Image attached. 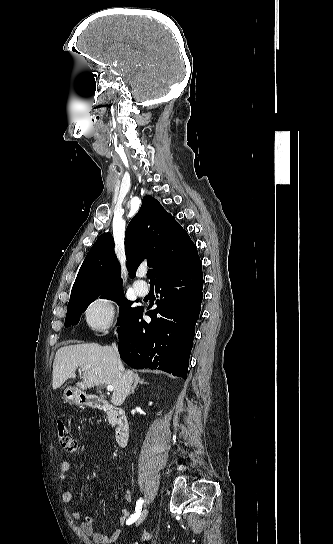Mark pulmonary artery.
<instances>
[{
	"mask_svg": "<svg viewBox=\"0 0 333 544\" xmlns=\"http://www.w3.org/2000/svg\"><path fill=\"white\" fill-rule=\"evenodd\" d=\"M139 276L142 277L143 273H141ZM133 287H134L135 292L139 296H145V295L148 294V291H149L148 285L143 280H139V279L136 280L134 282V284H133Z\"/></svg>",
	"mask_w": 333,
	"mask_h": 544,
	"instance_id": "1",
	"label": "pulmonary artery"
}]
</instances>
